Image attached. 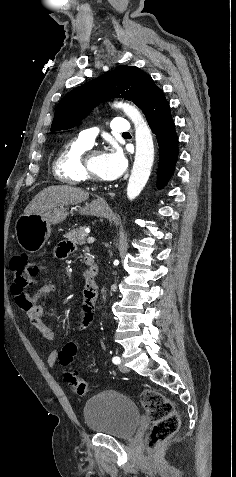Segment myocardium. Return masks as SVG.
Masks as SVG:
<instances>
[{
  "label": "myocardium",
  "instance_id": "myocardium-1",
  "mask_svg": "<svg viewBox=\"0 0 236 477\" xmlns=\"http://www.w3.org/2000/svg\"><path fill=\"white\" fill-rule=\"evenodd\" d=\"M98 154H101V152L99 150L90 151L86 155L84 160L82 161V168H83V172L85 174V178L88 182L93 183V184H104V183H107V180L94 175L93 172L91 171V169L89 168V165H88V159L92 155H98Z\"/></svg>",
  "mask_w": 236,
  "mask_h": 477
}]
</instances>
